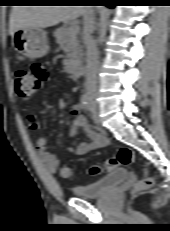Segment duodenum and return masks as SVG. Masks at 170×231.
Segmentation results:
<instances>
[{
    "mask_svg": "<svg viewBox=\"0 0 170 231\" xmlns=\"http://www.w3.org/2000/svg\"><path fill=\"white\" fill-rule=\"evenodd\" d=\"M85 72H86V68L83 65H79L76 69L77 74L83 75L85 74Z\"/></svg>",
    "mask_w": 170,
    "mask_h": 231,
    "instance_id": "410a0bca",
    "label": "duodenum"
}]
</instances>
